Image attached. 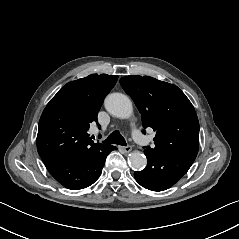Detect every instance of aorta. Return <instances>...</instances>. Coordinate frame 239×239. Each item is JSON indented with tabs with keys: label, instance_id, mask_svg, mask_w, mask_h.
<instances>
[{
	"label": "aorta",
	"instance_id": "762f6f07",
	"mask_svg": "<svg viewBox=\"0 0 239 239\" xmlns=\"http://www.w3.org/2000/svg\"><path fill=\"white\" fill-rule=\"evenodd\" d=\"M104 105L110 114L120 119H128L133 112L131 100L122 93L109 94L105 98ZM129 161L131 167L135 170H139L147 164L146 157L137 151L129 155Z\"/></svg>",
	"mask_w": 239,
	"mask_h": 239
}]
</instances>
